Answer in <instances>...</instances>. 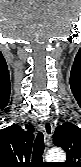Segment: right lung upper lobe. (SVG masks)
<instances>
[{
    "label": "right lung upper lobe",
    "instance_id": "cb5924a9",
    "mask_svg": "<svg viewBox=\"0 0 81 167\" xmlns=\"http://www.w3.org/2000/svg\"><path fill=\"white\" fill-rule=\"evenodd\" d=\"M34 130L29 124L0 130V167H30Z\"/></svg>",
    "mask_w": 81,
    "mask_h": 167
}]
</instances>
